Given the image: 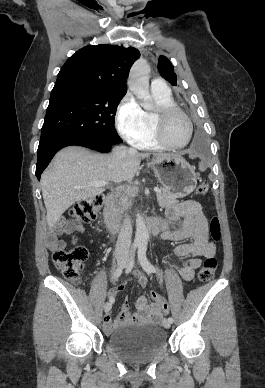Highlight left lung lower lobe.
Segmentation results:
<instances>
[{
    "instance_id": "obj_1",
    "label": "left lung lower lobe",
    "mask_w": 265,
    "mask_h": 388,
    "mask_svg": "<svg viewBox=\"0 0 265 388\" xmlns=\"http://www.w3.org/2000/svg\"><path fill=\"white\" fill-rule=\"evenodd\" d=\"M192 149L196 152H201V153L206 150V144L200 132H198L194 138Z\"/></svg>"
}]
</instances>
